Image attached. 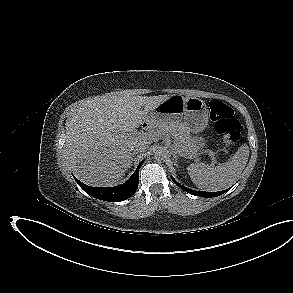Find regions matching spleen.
I'll use <instances>...</instances> for the list:
<instances>
[{
	"mask_svg": "<svg viewBox=\"0 0 293 293\" xmlns=\"http://www.w3.org/2000/svg\"><path fill=\"white\" fill-rule=\"evenodd\" d=\"M249 157L247 144L241 145L227 162L212 167L204 163L191 164L187 170L192 182L209 192L224 190L237 180L245 168Z\"/></svg>",
	"mask_w": 293,
	"mask_h": 293,
	"instance_id": "3e777b00",
	"label": "spleen"
}]
</instances>
